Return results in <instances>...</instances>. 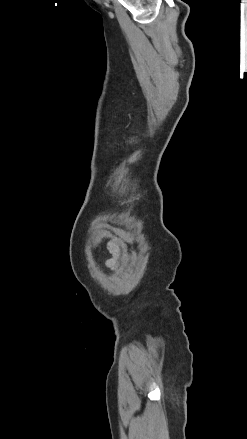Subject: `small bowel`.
I'll list each match as a JSON object with an SVG mask.
<instances>
[{
	"instance_id": "c3829d8e",
	"label": "small bowel",
	"mask_w": 247,
	"mask_h": 439,
	"mask_svg": "<svg viewBox=\"0 0 247 439\" xmlns=\"http://www.w3.org/2000/svg\"><path fill=\"white\" fill-rule=\"evenodd\" d=\"M109 248L112 252V257L106 261V266L110 269H115L117 266L118 252H119L118 244L116 242H112L109 244Z\"/></svg>"
}]
</instances>
